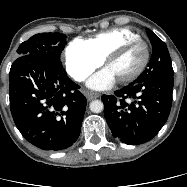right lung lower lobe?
<instances>
[{"label":"right lung lower lobe","instance_id":"obj_1","mask_svg":"<svg viewBox=\"0 0 187 187\" xmlns=\"http://www.w3.org/2000/svg\"><path fill=\"white\" fill-rule=\"evenodd\" d=\"M10 110L23 137L43 150L73 145L80 135L87 100L60 61L25 55L9 73Z\"/></svg>","mask_w":187,"mask_h":187}]
</instances>
